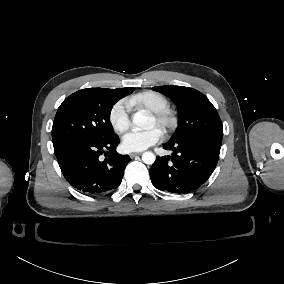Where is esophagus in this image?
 Returning a JSON list of instances; mask_svg holds the SVG:
<instances>
[{"instance_id": "1", "label": "esophagus", "mask_w": 284, "mask_h": 284, "mask_svg": "<svg viewBox=\"0 0 284 284\" xmlns=\"http://www.w3.org/2000/svg\"><path fill=\"white\" fill-rule=\"evenodd\" d=\"M140 154H142V153L141 152H133V153H130L129 156H130V158H134L135 156L140 155Z\"/></svg>"}]
</instances>
